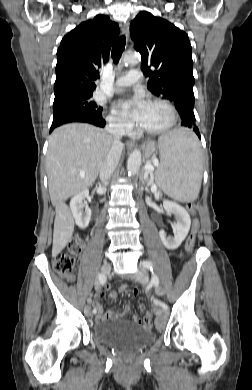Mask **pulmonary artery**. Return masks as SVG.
I'll return each mask as SVG.
<instances>
[{
    "label": "pulmonary artery",
    "instance_id": "e3ab8cb5",
    "mask_svg": "<svg viewBox=\"0 0 252 390\" xmlns=\"http://www.w3.org/2000/svg\"><path fill=\"white\" fill-rule=\"evenodd\" d=\"M140 77L141 72L137 69H132L116 80L114 89L119 91L125 87L132 86L140 81Z\"/></svg>",
    "mask_w": 252,
    "mask_h": 390
}]
</instances>
